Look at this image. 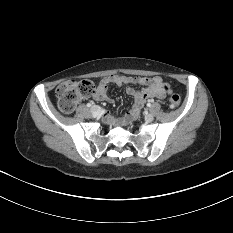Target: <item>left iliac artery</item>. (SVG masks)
Listing matches in <instances>:
<instances>
[{
    "label": "left iliac artery",
    "instance_id": "obj_1",
    "mask_svg": "<svg viewBox=\"0 0 233 233\" xmlns=\"http://www.w3.org/2000/svg\"><path fill=\"white\" fill-rule=\"evenodd\" d=\"M147 107H151V103L150 102L147 104Z\"/></svg>",
    "mask_w": 233,
    "mask_h": 233
}]
</instances>
